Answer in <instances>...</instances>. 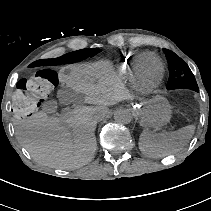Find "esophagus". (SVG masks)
I'll use <instances>...</instances> for the list:
<instances>
[{
	"label": "esophagus",
	"instance_id": "1",
	"mask_svg": "<svg viewBox=\"0 0 211 211\" xmlns=\"http://www.w3.org/2000/svg\"><path fill=\"white\" fill-rule=\"evenodd\" d=\"M125 107L128 110L136 111V112H139L142 109L141 103H139V102H131V101L126 102Z\"/></svg>",
	"mask_w": 211,
	"mask_h": 211
}]
</instances>
